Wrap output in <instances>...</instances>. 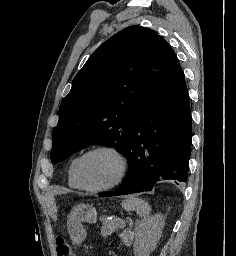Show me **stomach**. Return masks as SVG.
I'll list each match as a JSON object with an SVG mask.
<instances>
[{
  "instance_id": "0dacf381",
  "label": "stomach",
  "mask_w": 236,
  "mask_h": 256,
  "mask_svg": "<svg viewBox=\"0 0 236 256\" xmlns=\"http://www.w3.org/2000/svg\"><path fill=\"white\" fill-rule=\"evenodd\" d=\"M96 217L97 212L93 206L82 203L73 207L67 221V229L74 244H81L86 237L82 222L94 223Z\"/></svg>"
}]
</instances>
